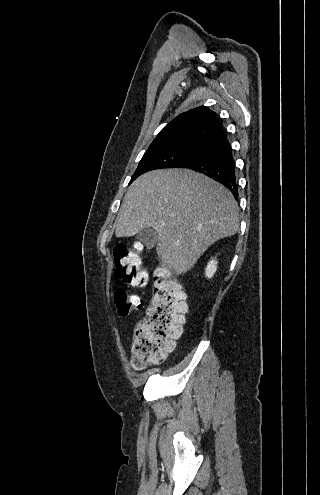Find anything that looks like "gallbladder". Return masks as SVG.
Wrapping results in <instances>:
<instances>
[{"label": "gallbladder", "mask_w": 320, "mask_h": 495, "mask_svg": "<svg viewBox=\"0 0 320 495\" xmlns=\"http://www.w3.org/2000/svg\"><path fill=\"white\" fill-rule=\"evenodd\" d=\"M136 238L151 248L158 242V233L153 228H145L138 233Z\"/></svg>", "instance_id": "gallbladder-1"}]
</instances>
